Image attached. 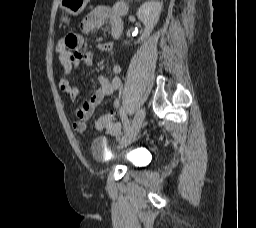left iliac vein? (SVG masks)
Listing matches in <instances>:
<instances>
[{
    "instance_id": "left-iliac-vein-1",
    "label": "left iliac vein",
    "mask_w": 256,
    "mask_h": 228,
    "mask_svg": "<svg viewBox=\"0 0 256 228\" xmlns=\"http://www.w3.org/2000/svg\"><path fill=\"white\" fill-rule=\"evenodd\" d=\"M146 111L145 108H141L137 111L135 114L132 124L129 127V129L125 132V135L123 136L121 143L122 144H128L130 143L137 134L140 132V129L142 127V124L145 120Z\"/></svg>"
}]
</instances>
